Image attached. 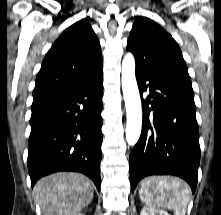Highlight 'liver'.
<instances>
[{"label": "liver", "instance_id": "6515ba94", "mask_svg": "<svg viewBox=\"0 0 221 215\" xmlns=\"http://www.w3.org/2000/svg\"><path fill=\"white\" fill-rule=\"evenodd\" d=\"M34 192L43 215H77L94 195L92 181L73 172H58L42 178Z\"/></svg>", "mask_w": 221, "mask_h": 215}]
</instances>
